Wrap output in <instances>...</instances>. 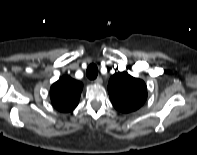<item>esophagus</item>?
Segmentation results:
<instances>
[{
  "mask_svg": "<svg viewBox=\"0 0 197 155\" xmlns=\"http://www.w3.org/2000/svg\"><path fill=\"white\" fill-rule=\"evenodd\" d=\"M94 82H95L96 84H98V85H101L102 82H103V80H102L101 77H97V78L94 80Z\"/></svg>",
  "mask_w": 197,
  "mask_h": 155,
  "instance_id": "esophagus-1",
  "label": "esophagus"
}]
</instances>
